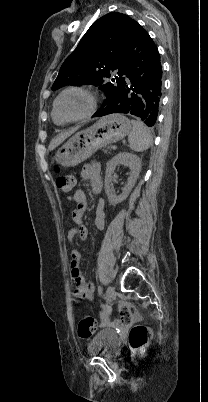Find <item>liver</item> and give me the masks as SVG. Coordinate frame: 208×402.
Listing matches in <instances>:
<instances>
[{
    "label": "liver",
    "mask_w": 208,
    "mask_h": 402,
    "mask_svg": "<svg viewBox=\"0 0 208 402\" xmlns=\"http://www.w3.org/2000/svg\"><path fill=\"white\" fill-rule=\"evenodd\" d=\"M78 128H72V130H69V132H62V134H58V136H55L53 140L50 142L49 150H54V148H57V146H60L66 138H69L71 134H74Z\"/></svg>",
    "instance_id": "6515ba94"
}]
</instances>
